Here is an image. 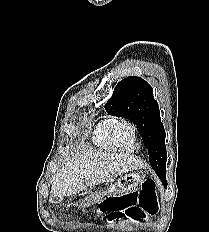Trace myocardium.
<instances>
[{
	"label": "myocardium",
	"instance_id": "myocardium-1",
	"mask_svg": "<svg viewBox=\"0 0 209 232\" xmlns=\"http://www.w3.org/2000/svg\"><path fill=\"white\" fill-rule=\"evenodd\" d=\"M121 126H125V127H128L131 129L133 140H136V126L132 121H130L128 119H119L115 124H113V126L111 128V136H112L114 143L122 150L132 151L133 149L126 148L121 143V141L119 140V138L117 136V129Z\"/></svg>",
	"mask_w": 209,
	"mask_h": 232
}]
</instances>
